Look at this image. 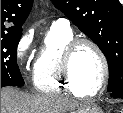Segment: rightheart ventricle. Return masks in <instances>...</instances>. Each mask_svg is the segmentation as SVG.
<instances>
[{
  "label": "right heart ventricle",
  "mask_w": 123,
  "mask_h": 113,
  "mask_svg": "<svg viewBox=\"0 0 123 113\" xmlns=\"http://www.w3.org/2000/svg\"><path fill=\"white\" fill-rule=\"evenodd\" d=\"M73 38L70 28L50 27L47 31L33 66V86L37 91L49 94L68 91L82 97L69 87L61 70L64 49Z\"/></svg>",
  "instance_id": "obj_1"
}]
</instances>
